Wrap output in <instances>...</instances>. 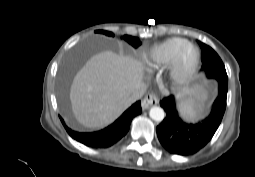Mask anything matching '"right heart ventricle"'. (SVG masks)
<instances>
[{
	"label": "right heart ventricle",
	"instance_id": "e07e8e85",
	"mask_svg": "<svg viewBox=\"0 0 255 177\" xmlns=\"http://www.w3.org/2000/svg\"><path fill=\"white\" fill-rule=\"evenodd\" d=\"M186 42L183 38H169L153 47L145 54V61L151 67H163L174 58L177 50Z\"/></svg>",
	"mask_w": 255,
	"mask_h": 177
}]
</instances>
